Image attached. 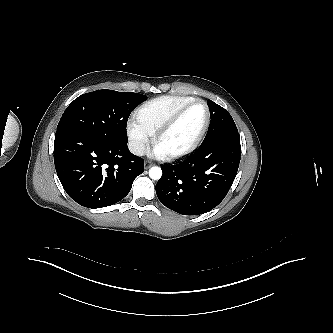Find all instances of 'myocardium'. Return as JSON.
Masks as SVG:
<instances>
[{
    "label": "myocardium",
    "mask_w": 333,
    "mask_h": 333,
    "mask_svg": "<svg viewBox=\"0 0 333 333\" xmlns=\"http://www.w3.org/2000/svg\"><path fill=\"white\" fill-rule=\"evenodd\" d=\"M201 103L205 106L206 109V120L198 133V135L195 137V139L184 149L174 151V152H160L158 149L159 142L161 139L164 137L166 133H168L181 119L183 114L193 105ZM211 122V110L210 107L208 106L207 102H205L202 99H193L190 102L184 104L181 106L179 109H177L172 116L156 131L154 135V140H153V145L155 150H157L160 155L166 159V160H176L182 157H185L192 153L194 150L198 148V146L201 144L202 140L204 139L209 126Z\"/></svg>",
    "instance_id": "1"
}]
</instances>
